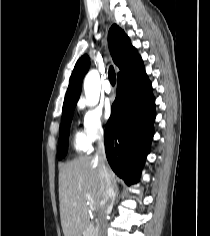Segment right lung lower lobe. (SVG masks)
Returning a JSON list of instances; mask_svg holds the SVG:
<instances>
[{
    "label": "right lung lower lobe",
    "instance_id": "obj_1",
    "mask_svg": "<svg viewBox=\"0 0 210 236\" xmlns=\"http://www.w3.org/2000/svg\"><path fill=\"white\" fill-rule=\"evenodd\" d=\"M155 116V99L143 64L117 78L104 143L112 170L127 184L139 179L153 139Z\"/></svg>",
    "mask_w": 210,
    "mask_h": 236
}]
</instances>
